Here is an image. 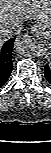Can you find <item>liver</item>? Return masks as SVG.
Masks as SVG:
<instances>
[{"instance_id":"1","label":"liver","mask_w":51,"mask_h":153,"mask_svg":"<svg viewBox=\"0 0 51 153\" xmlns=\"http://www.w3.org/2000/svg\"><path fill=\"white\" fill-rule=\"evenodd\" d=\"M37 20L45 26L51 25L50 0H0V36L1 44L7 39L2 35L6 29H12L24 20Z\"/></svg>"}]
</instances>
